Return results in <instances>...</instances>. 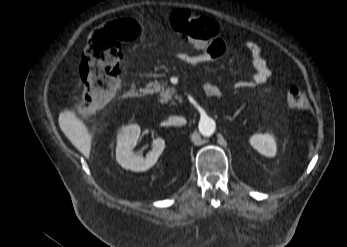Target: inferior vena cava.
Returning <instances> with one entry per match:
<instances>
[{"label":"inferior vena cava","mask_w":347,"mask_h":247,"mask_svg":"<svg viewBox=\"0 0 347 247\" xmlns=\"http://www.w3.org/2000/svg\"><path fill=\"white\" fill-rule=\"evenodd\" d=\"M168 122L171 125L180 126V125H184L186 123V120L183 117L173 116L169 118Z\"/></svg>","instance_id":"602c4592"}]
</instances>
